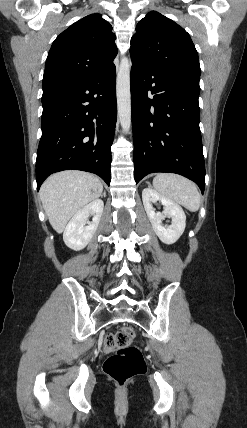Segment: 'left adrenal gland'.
<instances>
[{
	"instance_id": "1",
	"label": "left adrenal gland",
	"mask_w": 247,
	"mask_h": 428,
	"mask_svg": "<svg viewBox=\"0 0 247 428\" xmlns=\"http://www.w3.org/2000/svg\"><path fill=\"white\" fill-rule=\"evenodd\" d=\"M149 186H150V183L149 182H146Z\"/></svg>"
}]
</instances>
